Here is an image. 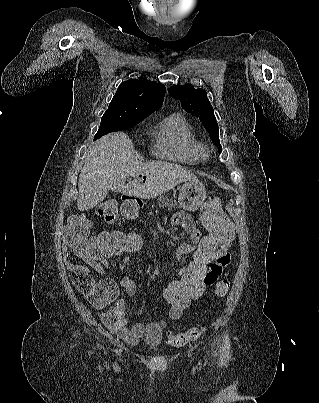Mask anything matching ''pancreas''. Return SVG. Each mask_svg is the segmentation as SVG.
I'll list each match as a JSON object with an SVG mask.
<instances>
[{"mask_svg": "<svg viewBox=\"0 0 319 403\" xmlns=\"http://www.w3.org/2000/svg\"><path fill=\"white\" fill-rule=\"evenodd\" d=\"M157 204L159 207H168L169 209L176 208L177 206V203L172 199H169L168 196H159Z\"/></svg>", "mask_w": 319, "mask_h": 403, "instance_id": "1", "label": "pancreas"}]
</instances>
